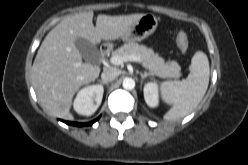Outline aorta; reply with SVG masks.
Here are the masks:
<instances>
[{"instance_id":"762f6f07","label":"aorta","mask_w":248,"mask_h":165,"mask_svg":"<svg viewBox=\"0 0 248 165\" xmlns=\"http://www.w3.org/2000/svg\"><path fill=\"white\" fill-rule=\"evenodd\" d=\"M122 86L126 90H132L135 87V81L132 78H125L123 80Z\"/></svg>"}]
</instances>
